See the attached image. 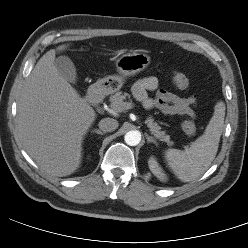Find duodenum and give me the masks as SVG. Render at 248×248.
<instances>
[{
  "label": "duodenum",
  "mask_w": 248,
  "mask_h": 248,
  "mask_svg": "<svg viewBox=\"0 0 248 248\" xmlns=\"http://www.w3.org/2000/svg\"><path fill=\"white\" fill-rule=\"evenodd\" d=\"M88 97H89L90 102L95 105L101 102V94L98 90L92 91Z\"/></svg>",
  "instance_id": "duodenum-1"
}]
</instances>
